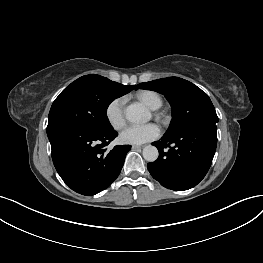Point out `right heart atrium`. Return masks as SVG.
Returning a JSON list of instances; mask_svg holds the SVG:
<instances>
[{
	"mask_svg": "<svg viewBox=\"0 0 263 263\" xmlns=\"http://www.w3.org/2000/svg\"><path fill=\"white\" fill-rule=\"evenodd\" d=\"M124 103V97H116L105 108V117L110 126L115 130H120L125 126Z\"/></svg>",
	"mask_w": 263,
	"mask_h": 263,
	"instance_id": "1",
	"label": "right heart atrium"
}]
</instances>
